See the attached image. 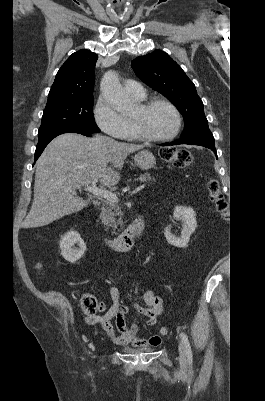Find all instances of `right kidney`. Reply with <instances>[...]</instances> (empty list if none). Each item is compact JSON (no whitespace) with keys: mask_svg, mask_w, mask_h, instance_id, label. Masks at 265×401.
<instances>
[{"mask_svg":"<svg viewBox=\"0 0 265 401\" xmlns=\"http://www.w3.org/2000/svg\"><path fill=\"white\" fill-rule=\"evenodd\" d=\"M75 243H78L79 249H72ZM59 247L62 257H64L66 261H69V263H76L78 259L83 257L86 251V245L77 231H69V233H66L63 239H61Z\"/></svg>","mask_w":265,"mask_h":401,"instance_id":"right-kidney-1","label":"right kidney"}]
</instances>
